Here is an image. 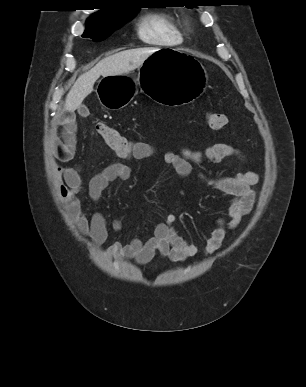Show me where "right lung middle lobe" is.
<instances>
[{"instance_id": "right-lung-middle-lobe-1", "label": "right lung middle lobe", "mask_w": 306, "mask_h": 387, "mask_svg": "<svg viewBox=\"0 0 306 387\" xmlns=\"http://www.w3.org/2000/svg\"><path fill=\"white\" fill-rule=\"evenodd\" d=\"M138 11L139 9H128L106 22H87V27L82 37L91 38L94 41H102L125 22L130 21Z\"/></svg>"}]
</instances>
